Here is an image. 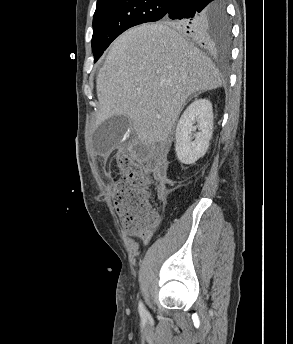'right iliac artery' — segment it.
Masks as SVG:
<instances>
[{
  "instance_id": "obj_1",
  "label": "right iliac artery",
  "mask_w": 293,
  "mask_h": 344,
  "mask_svg": "<svg viewBox=\"0 0 293 344\" xmlns=\"http://www.w3.org/2000/svg\"><path fill=\"white\" fill-rule=\"evenodd\" d=\"M139 312H140L141 316H146V314H147V311H146L142 302L139 303Z\"/></svg>"
}]
</instances>
